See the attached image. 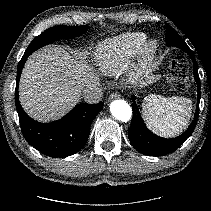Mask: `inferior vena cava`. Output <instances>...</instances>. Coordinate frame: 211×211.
<instances>
[{
  "label": "inferior vena cava",
  "instance_id": "602c4592",
  "mask_svg": "<svg viewBox=\"0 0 211 211\" xmlns=\"http://www.w3.org/2000/svg\"><path fill=\"white\" fill-rule=\"evenodd\" d=\"M82 93L85 102L89 104L98 103L103 96V90L98 86H88L83 90Z\"/></svg>",
  "mask_w": 211,
  "mask_h": 211
}]
</instances>
